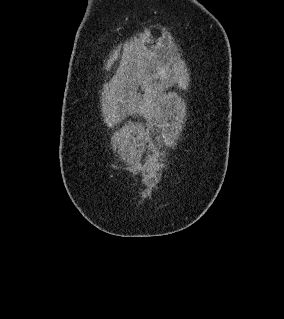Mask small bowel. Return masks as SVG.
<instances>
[{
	"instance_id": "1",
	"label": "small bowel",
	"mask_w": 284,
	"mask_h": 319,
	"mask_svg": "<svg viewBox=\"0 0 284 319\" xmlns=\"http://www.w3.org/2000/svg\"><path fill=\"white\" fill-rule=\"evenodd\" d=\"M153 114H154V117H155L156 121L159 122V121L161 120V113H160L159 109L157 108V109L153 112Z\"/></svg>"
}]
</instances>
